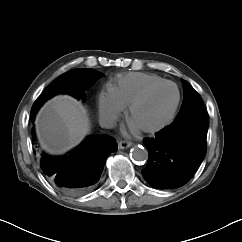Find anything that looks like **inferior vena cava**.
I'll use <instances>...</instances> for the list:
<instances>
[{
    "mask_svg": "<svg viewBox=\"0 0 242 242\" xmlns=\"http://www.w3.org/2000/svg\"><path fill=\"white\" fill-rule=\"evenodd\" d=\"M100 124L102 127L105 128H113L115 126V120L109 117L102 118L100 120Z\"/></svg>",
    "mask_w": 242,
    "mask_h": 242,
    "instance_id": "602c4592",
    "label": "inferior vena cava"
}]
</instances>
